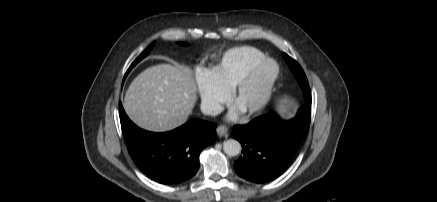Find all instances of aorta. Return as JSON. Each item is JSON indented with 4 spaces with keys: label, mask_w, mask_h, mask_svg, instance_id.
I'll use <instances>...</instances> for the list:
<instances>
[{
    "label": "aorta",
    "mask_w": 437,
    "mask_h": 202,
    "mask_svg": "<svg viewBox=\"0 0 437 202\" xmlns=\"http://www.w3.org/2000/svg\"><path fill=\"white\" fill-rule=\"evenodd\" d=\"M223 150L229 156H236L241 152V144L235 139H229L224 142Z\"/></svg>",
    "instance_id": "762f6f07"
}]
</instances>
